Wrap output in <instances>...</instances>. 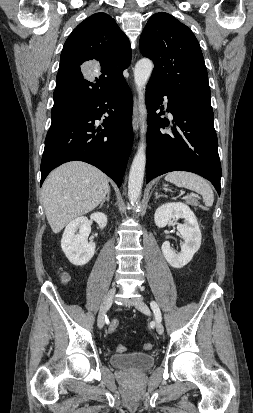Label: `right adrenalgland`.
<instances>
[{"instance_id":"right-adrenal-gland-1","label":"right adrenal gland","mask_w":253,"mask_h":413,"mask_svg":"<svg viewBox=\"0 0 253 413\" xmlns=\"http://www.w3.org/2000/svg\"><path fill=\"white\" fill-rule=\"evenodd\" d=\"M109 200H110V191L107 193V196H106V198H104L103 200H102V202L100 203V208L104 205V203H105V201H108L109 202Z\"/></svg>"}]
</instances>
